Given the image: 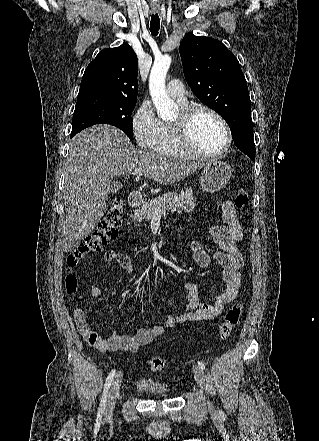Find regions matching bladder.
<instances>
[{
	"mask_svg": "<svg viewBox=\"0 0 319 441\" xmlns=\"http://www.w3.org/2000/svg\"><path fill=\"white\" fill-rule=\"evenodd\" d=\"M137 388L147 395L156 397L169 396L171 392L169 385L161 384L150 379H140L137 382Z\"/></svg>",
	"mask_w": 319,
	"mask_h": 441,
	"instance_id": "obj_1",
	"label": "bladder"
}]
</instances>
